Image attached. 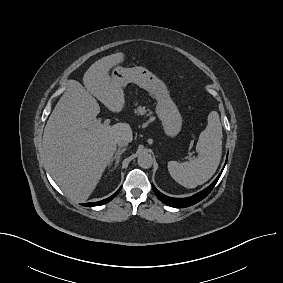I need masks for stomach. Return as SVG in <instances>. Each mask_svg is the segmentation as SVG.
<instances>
[{
	"label": "stomach",
	"mask_w": 283,
	"mask_h": 283,
	"mask_svg": "<svg viewBox=\"0 0 283 283\" xmlns=\"http://www.w3.org/2000/svg\"><path fill=\"white\" fill-rule=\"evenodd\" d=\"M111 76L119 80L123 87L130 82L137 84L156 99L155 112L168 137H175L180 132L182 116L170 98L166 84L155 74L141 66L133 68L117 66L113 69Z\"/></svg>",
	"instance_id": "obj_1"
}]
</instances>
